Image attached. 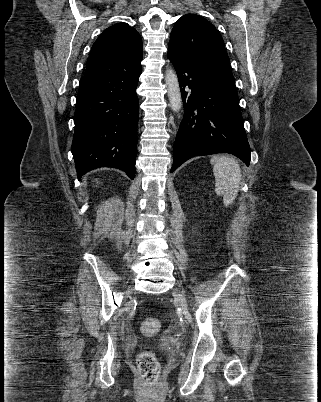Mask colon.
<instances>
[{"instance_id":"5ec220e1","label":"colon","mask_w":321,"mask_h":402,"mask_svg":"<svg viewBox=\"0 0 321 402\" xmlns=\"http://www.w3.org/2000/svg\"><path fill=\"white\" fill-rule=\"evenodd\" d=\"M160 328L158 319L154 317L145 318L141 323V330L146 335L155 334ZM137 368L144 381L155 386L160 376V363L154 352L146 348L137 357Z\"/></svg>"}]
</instances>
